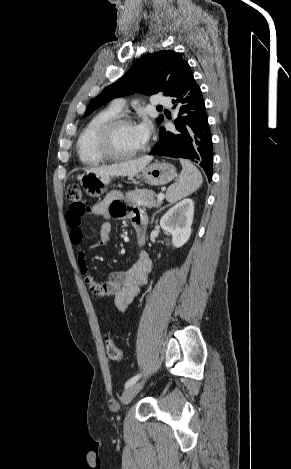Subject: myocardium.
<instances>
[{
    "label": "myocardium",
    "instance_id": "myocardium-1",
    "mask_svg": "<svg viewBox=\"0 0 291 469\" xmlns=\"http://www.w3.org/2000/svg\"><path fill=\"white\" fill-rule=\"evenodd\" d=\"M124 124H133V121L131 120L130 117L119 114L115 116L114 118L110 119L109 121H107L99 130L98 139H97L98 148L106 159L115 160V161L128 160L146 151L148 147L147 144H145L142 148L136 151L126 153V154L119 153L115 150L114 145H113V138H114L115 131L117 130L119 126L124 125Z\"/></svg>",
    "mask_w": 291,
    "mask_h": 469
}]
</instances>
